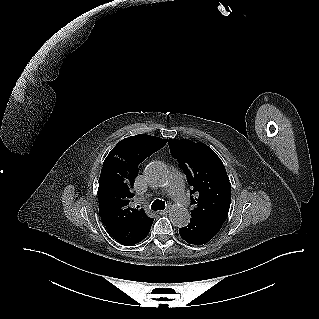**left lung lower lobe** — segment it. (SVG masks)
I'll list each match as a JSON object with an SVG mask.
<instances>
[{
  "mask_svg": "<svg viewBox=\"0 0 319 319\" xmlns=\"http://www.w3.org/2000/svg\"><path fill=\"white\" fill-rule=\"evenodd\" d=\"M223 223L214 219L192 217L187 226L179 229V233L189 244L202 245L218 233Z\"/></svg>",
  "mask_w": 319,
  "mask_h": 319,
  "instance_id": "1",
  "label": "left lung lower lobe"
}]
</instances>
